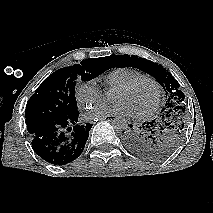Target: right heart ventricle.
Returning <instances> with one entry per match:
<instances>
[{"instance_id": "1", "label": "right heart ventricle", "mask_w": 213, "mask_h": 213, "mask_svg": "<svg viewBox=\"0 0 213 213\" xmlns=\"http://www.w3.org/2000/svg\"><path fill=\"white\" fill-rule=\"evenodd\" d=\"M144 76L145 74L136 68L118 67L106 74L103 82L107 88L112 89Z\"/></svg>"}]
</instances>
